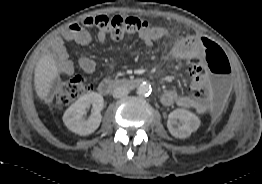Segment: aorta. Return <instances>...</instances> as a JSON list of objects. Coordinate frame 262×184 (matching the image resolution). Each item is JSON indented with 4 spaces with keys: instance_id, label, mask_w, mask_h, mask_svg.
I'll use <instances>...</instances> for the list:
<instances>
[{
    "instance_id": "obj_1",
    "label": "aorta",
    "mask_w": 262,
    "mask_h": 184,
    "mask_svg": "<svg viewBox=\"0 0 262 184\" xmlns=\"http://www.w3.org/2000/svg\"><path fill=\"white\" fill-rule=\"evenodd\" d=\"M138 93L141 94V95H149L151 93V85L148 84V83H141L139 86H138V89H137Z\"/></svg>"
}]
</instances>
